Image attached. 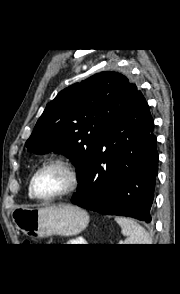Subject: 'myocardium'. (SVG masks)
<instances>
[{"label":"myocardium","instance_id":"obj_1","mask_svg":"<svg viewBox=\"0 0 180 294\" xmlns=\"http://www.w3.org/2000/svg\"><path fill=\"white\" fill-rule=\"evenodd\" d=\"M49 168H60L67 175L66 187L50 196H41L36 190V179L40 173ZM79 186V175L75 165L68 159L65 158H55L44 163L40 168H38L31 177L30 180V192L31 194L41 201H53L64 196L73 193Z\"/></svg>","mask_w":180,"mask_h":294}]
</instances>
